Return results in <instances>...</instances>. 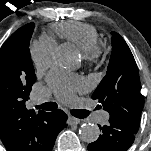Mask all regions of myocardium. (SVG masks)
<instances>
[{
	"mask_svg": "<svg viewBox=\"0 0 151 151\" xmlns=\"http://www.w3.org/2000/svg\"><path fill=\"white\" fill-rule=\"evenodd\" d=\"M102 50L99 44H96L89 49L83 50L84 59L88 62H96L101 56Z\"/></svg>",
	"mask_w": 151,
	"mask_h": 151,
	"instance_id": "f54148a6",
	"label": "myocardium"
}]
</instances>
